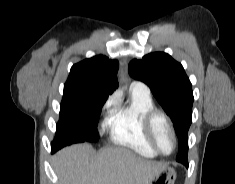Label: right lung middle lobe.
<instances>
[{
	"mask_svg": "<svg viewBox=\"0 0 235 184\" xmlns=\"http://www.w3.org/2000/svg\"><path fill=\"white\" fill-rule=\"evenodd\" d=\"M92 96L90 90L64 91L60 121L52 143L54 152L73 143L98 141L97 121L103 104H91Z\"/></svg>",
	"mask_w": 235,
	"mask_h": 184,
	"instance_id": "dd1d6c3e",
	"label": "right lung middle lobe"
}]
</instances>
